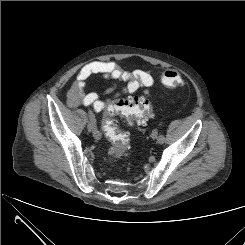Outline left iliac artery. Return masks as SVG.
Listing matches in <instances>:
<instances>
[{"label": "left iliac artery", "mask_w": 245, "mask_h": 245, "mask_svg": "<svg viewBox=\"0 0 245 245\" xmlns=\"http://www.w3.org/2000/svg\"><path fill=\"white\" fill-rule=\"evenodd\" d=\"M165 137L163 135H159L158 137V143L162 144L164 143Z\"/></svg>", "instance_id": "obj_1"}]
</instances>
